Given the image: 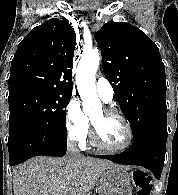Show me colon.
<instances>
[{
  "label": "colon",
  "instance_id": "colon-1",
  "mask_svg": "<svg viewBox=\"0 0 178 195\" xmlns=\"http://www.w3.org/2000/svg\"><path fill=\"white\" fill-rule=\"evenodd\" d=\"M133 177L137 186V195H150L152 184L149 176L144 172L136 171Z\"/></svg>",
  "mask_w": 178,
  "mask_h": 195
}]
</instances>
